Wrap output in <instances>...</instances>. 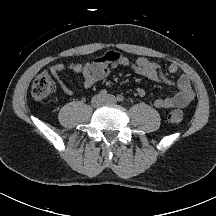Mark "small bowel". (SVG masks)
I'll return each mask as SVG.
<instances>
[{
    "instance_id": "c3829d8e",
    "label": "small bowel",
    "mask_w": 216,
    "mask_h": 216,
    "mask_svg": "<svg viewBox=\"0 0 216 216\" xmlns=\"http://www.w3.org/2000/svg\"><path fill=\"white\" fill-rule=\"evenodd\" d=\"M65 66L82 77L83 87L86 89L105 79L113 69L119 66L129 67L137 74L154 82L176 86L178 89L176 94L158 98L154 101V106L158 109L184 108L190 105L195 97L187 75L182 74L177 80H173L167 76L159 64L143 56L130 58L119 52L109 51L84 64L68 62L66 64L56 63L52 65L49 68L50 74L58 81L65 94L73 95L74 90L62 78ZM167 71L169 74H176L179 71V67L177 64L172 63ZM136 91L140 96H144L146 93L141 87H138Z\"/></svg>"
}]
</instances>
